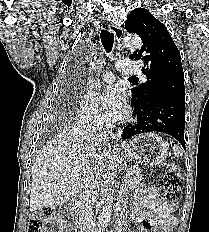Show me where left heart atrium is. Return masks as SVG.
Returning <instances> with one entry per match:
<instances>
[{
  "label": "left heart atrium",
  "instance_id": "1",
  "mask_svg": "<svg viewBox=\"0 0 209 232\" xmlns=\"http://www.w3.org/2000/svg\"><path fill=\"white\" fill-rule=\"evenodd\" d=\"M105 117L109 121L121 120L127 114V105L115 87L106 88L99 97Z\"/></svg>",
  "mask_w": 209,
  "mask_h": 232
}]
</instances>
